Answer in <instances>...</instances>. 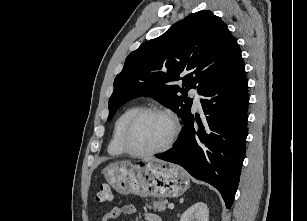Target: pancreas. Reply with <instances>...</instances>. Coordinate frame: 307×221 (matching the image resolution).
I'll use <instances>...</instances> for the list:
<instances>
[{"label":"pancreas","instance_id":"cf45deb5","mask_svg":"<svg viewBox=\"0 0 307 221\" xmlns=\"http://www.w3.org/2000/svg\"><path fill=\"white\" fill-rule=\"evenodd\" d=\"M151 203H152L151 205L146 204L147 208L153 209L154 211L158 212L164 211L166 209V204H167L166 200H159V201L152 200Z\"/></svg>","mask_w":307,"mask_h":221}]
</instances>
